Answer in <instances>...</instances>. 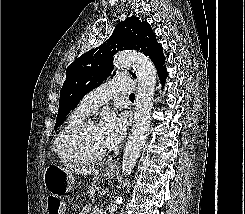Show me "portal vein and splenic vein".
Instances as JSON below:
<instances>
[{"label": "portal vein and splenic vein", "mask_w": 245, "mask_h": 214, "mask_svg": "<svg viewBox=\"0 0 245 214\" xmlns=\"http://www.w3.org/2000/svg\"><path fill=\"white\" fill-rule=\"evenodd\" d=\"M105 194H106V193H105L104 191L100 192V195H102V196L105 195Z\"/></svg>", "instance_id": "1"}]
</instances>
